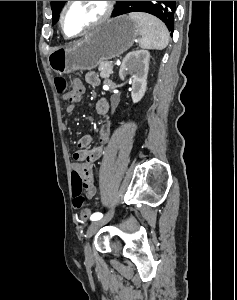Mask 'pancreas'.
<instances>
[{
    "label": "pancreas",
    "mask_w": 237,
    "mask_h": 300,
    "mask_svg": "<svg viewBox=\"0 0 237 300\" xmlns=\"http://www.w3.org/2000/svg\"><path fill=\"white\" fill-rule=\"evenodd\" d=\"M108 65H110L108 61H104V63H100L98 67V71H100L101 77H109V75H111L113 68L111 69L108 68Z\"/></svg>",
    "instance_id": "cf45deb5"
}]
</instances>
